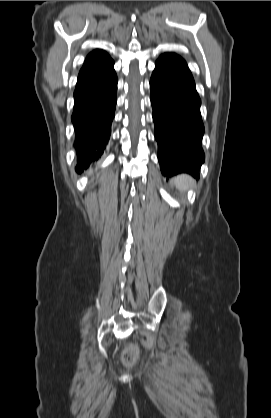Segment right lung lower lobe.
I'll use <instances>...</instances> for the list:
<instances>
[{
    "label": "right lung lower lobe",
    "instance_id": "right-lung-lower-lobe-1",
    "mask_svg": "<svg viewBox=\"0 0 271 418\" xmlns=\"http://www.w3.org/2000/svg\"><path fill=\"white\" fill-rule=\"evenodd\" d=\"M109 60L77 80L74 91L72 122L78 163L76 172L97 160L110 138L117 92V76Z\"/></svg>",
    "mask_w": 271,
    "mask_h": 418
}]
</instances>
